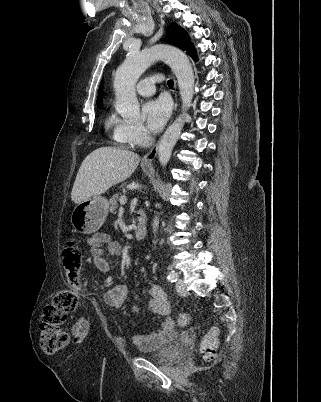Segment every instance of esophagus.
<instances>
[{"label":"esophagus","instance_id":"obj_1","mask_svg":"<svg viewBox=\"0 0 321 402\" xmlns=\"http://www.w3.org/2000/svg\"><path fill=\"white\" fill-rule=\"evenodd\" d=\"M176 85V83H175ZM177 108V103L175 104V110ZM158 152V144H156L155 146H153V148L146 154L143 156L142 158V163L146 164V165H151L152 161L155 159L156 155Z\"/></svg>","mask_w":321,"mask_h":402}]
</instances>
